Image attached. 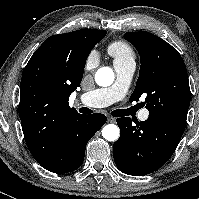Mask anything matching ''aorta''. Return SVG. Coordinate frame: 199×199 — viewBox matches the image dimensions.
Returning <instances> with one entry per match:
<instances>
[{"mask_svg": "<svg viewBox=\"0 0 199 199\" xmlns=\"http://www.w3.org/2000/svg\"><path fill=\"white\" fill-rule=\"evenodd\" d=\"M95 81L99 86H110L114 81V72L109 67L100 68L95 74ZM120 130L115 124H108L102 129V136L108 141H115L119 138Z\"/></svg>", "mask_w": 199, "mask_h": 199, "instance_id": "1", "label": "aorta"}]
</instances>
